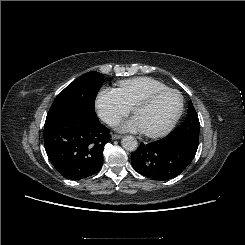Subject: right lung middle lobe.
<instances>
[{"label":"right lung middle lobe","instance_id":"right-lung-middle-lobe-1","mask_svg":"<svg viewBox=\"0 0 245 245\" xmlns=\"http://www.w3.org/2000/svg\"><path fill=\"white\" fill-rule=\"evenodd\" d=\"M103 82L104 76L95 71L80 76L59 93L48 115L59 112H78L97 118L94 102Z\"/></svg>","mask_w":245,"mask_h":245}]
</instances>
